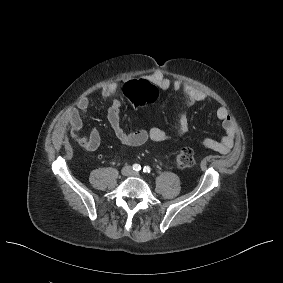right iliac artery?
<instances>
[{
  "mask_svg": "<svg viewBox=\"0 0 283 283\" xmlns=\"http://www.w3.org/2000/svg\"><path fill=\"white\" fill-rule=\"evenodd\" d=\"M133 170L140 171L141 170V166L139 164H134L133 165Z\"/></svg>",
  "mask_w": 283,
  "mask_h": 283,
  "instance_id": "82829eb1",
  "label": "right iliac artery"
}]
</instances>
